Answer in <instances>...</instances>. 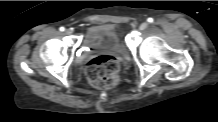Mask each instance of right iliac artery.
<instances>
[{"label": "right iliac artery", "instance_id": "right-iliac-artery-1", "mask_svg": "<svg viewBox=\"0 0 218 122\" xmlns=\"http://www.w3.org/2000/svg\"><path fill=\"white\" fill-rule=\"evenodd\" d=\"M59 30L63 32L65 30V28L64 27H60Z\"/></svg>", "mask_w": 218, "mask_h": 122}]
</instances>
